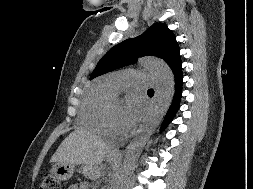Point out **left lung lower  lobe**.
<instances>
[{
    "label": "left lung lower lobe",
    "instance_id": "0a47b994",
    "mask_svg": "<svg viewBox=\"0 0 253 189\" xmlns=\"http://www.w3.org/2000/svg\"><path fill=\"white\" fill-rule=\"evenodd\" d=\"M181 64L182 63H179L173 70L174 77H175V94H174L172 104L167 112L166 118L162 125V129H164L167 126V124H169V122L173 119L180 104V99H181V94H182V80H183Z\"/></svg>",
    "mask_w": 253,
    "mask_h": 189
}]
</instances>
